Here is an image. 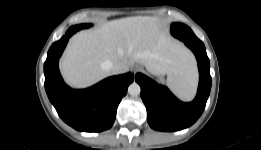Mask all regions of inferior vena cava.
Segmentation results:
<instances>
[{
  "label": "inferior vena cava",
  "instance_id": "inferior-vena-cava-1",
  "mask_svg": "<svg viewBox=\"0 0 261 150\" xmlns=\"http://www.w3.org/2000/svg\"><path fill=\"white\" fill-rule=\"evenodd\" d=\"M106 68L113 74H121L127 71V65L123 62H108Z\"/></svg>",
  "mask_w": 261,
  "mask_h": 150
}]
</instances>
